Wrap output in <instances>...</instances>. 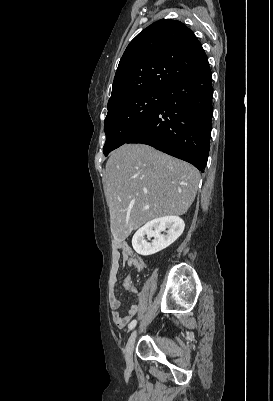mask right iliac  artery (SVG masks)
<instances>
[{"instance_id": "right-iliac-artery-1", "label": "right iliac artery", "mask_w": 273, "mask_h": 401, "mask_svg": "<svg viewBox=\"0 0 273 401\" xmlns=\"http://www.w3.org/2000/svg\"><path fill=\"white\" fill-rule=\"evenodd\" d=\"M136 323V320H132L131 323L128 325L129 330H132L136 326Z\"/></svg>"}]
</instances>
